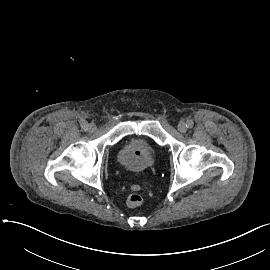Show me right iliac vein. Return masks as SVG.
Listing matches in <instances>:
<instances>
[{
	"instance_id": "63e3f726",
	"label": "right iliac vein",
	"mask_w": 270,
	"mask_h": 270,
	"mask_svg": "<svg viewBox=\"0 0 270 270\" xmlns=\"http://www.w3.org/2000/svg\"><path fill=\"white\" fill-rule=\"evenodd\" d=\"M95 129H96V125H95L94 123H89V124L87 125V130H88L89 132H94Z\"/></svg>"
}]
</instances>
